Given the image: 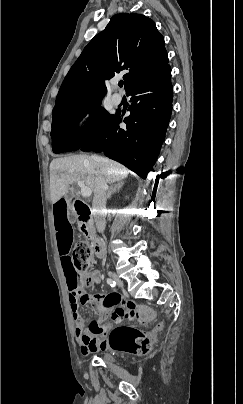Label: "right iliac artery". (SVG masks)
Returning <instances> with one entry per match:
<instances>
[{
    "label": "right iliac artery",
    "mask_w": 243,
    "mask_h": 404,
    "mask_svg": "<svg viewBox=\"0 0 243 404\" xmlns=\"http://www.w3.org/2000/svg\"><path fill=\"white\" fill-rule=\"evenodd\" d=\"M107 283L111 286V287H116V282L114 280H112L111 278L107 279Z\"/></svg>",
    "instance_id": "82829eb1"
}]
</instances>
